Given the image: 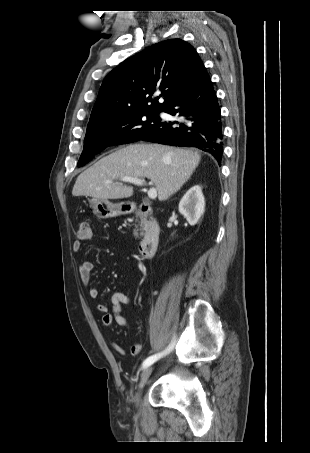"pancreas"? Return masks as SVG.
Listing matches in <instances>:
<instances>
[{
	"label": "pancreas",
	"mask_w": 310,
	"mask_h": 453,
	"mask_svg": "<svg viewBox=\"0 0 310 453\" xmlns=\"http://www.w3.org/2000/svg\"><path fill=\"white\" fill-rule=\"evenodd\" d=\"M142 223H143V222H142ZM141 227H142V228L140 229V231H142V230L144 229V227H143L142 225H141ZM138 231H139V229H135V230H134V236H135L136 238L139 237ZM140 235H142V232L140 233Z\"/></svg>",
	"instance_id": "pancreas-1"
}]
</instances>
